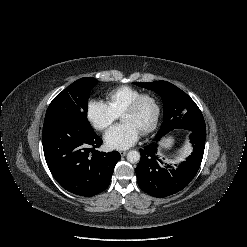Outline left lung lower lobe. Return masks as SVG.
I'll use <instances>...</instances> for the list:
<instances>
[{
    "label": "left lung lower lobe",
    "mask_w": 247,
    "mask_h": 247,
    "mask_svg": "<svg viewBox=\"0 0 247 247\" xmlns=\"http://www.w3.org/2000/svg\"><path fill=\"white\" fill-rule=\"evenodd\" d=\"M188 134L193 152L176 169L157 157L156 142L140 149L141 159L135 172L138 185L144 192L163 198L181 191L192 181L202 162L206 129L189 131Z\"/></svg>",
    "instance_id": "0a47b994"
}]
</instances>
